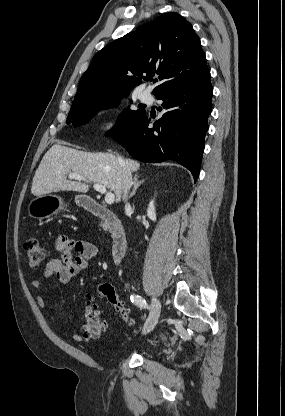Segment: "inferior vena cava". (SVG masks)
Instances as JSON below:
<instances>
[{"mask_svg":"<svg viewBox=\"0 0 285 416\" xmlns=\"http://www.w3.org/2000/svg\"><path fill=\"white\" fill-rule=\"evenodd\" d=\"M118 160H119L120 164H122V166H123L122 190H123V200H126L128 190H130V188L132 186V182H131L132 174H131L130 168H128V166H126L124 160H122V158H119V156H118Z\"/></svg>","mask_w":285,"mask_h":416,"instance_id":"1","label":"inferior vena cava"}]
</instances>
